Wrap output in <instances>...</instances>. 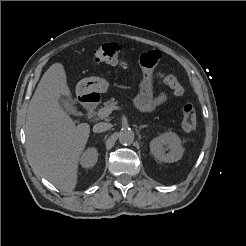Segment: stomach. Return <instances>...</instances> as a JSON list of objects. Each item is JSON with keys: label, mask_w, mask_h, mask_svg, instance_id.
Returning <instances> with one entry per match:
<instances>
[{"label": "stomach", "mask_w": 246, "mask_h": 246, "mask_svg": "<svg viewBox=\"0 0 246 246\" xmlns=\"http://www.w3.org/2000/svg\"><path fill=\"white\" fill-rule=\"evenodd\" d=\"M109 83L106 79L100 77L84 78L77 84V93L80 95H87L92 93L107 92Z\"/></svg>", "instance_id": "1"}]
</instances>
